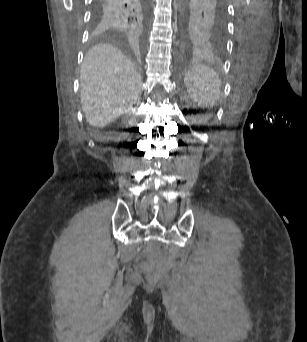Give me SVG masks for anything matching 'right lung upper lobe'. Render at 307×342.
<instances>
[{
	"label": "right lung upper lobe",
	"mask_w": 307,
	"mask_h": 342,
	"mask_svg": "<svg viewBox=\"0 0 307 342\" xmlns=\"http://www.w3.org/2000/svg\"><path fill=\"white\" fill-rule=\"evenodd\" d=\"M93 8L99 36L134 42L143 39L149 19L148 0H95Z\"/></svg>",
	"instance_id": "obj_1"
}]
</instances>
